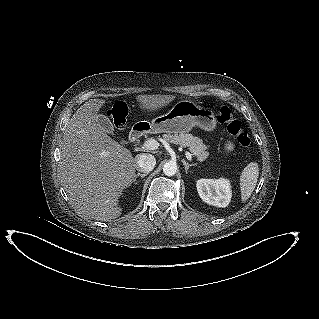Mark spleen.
Returning <instances> with one entry per match:
<instances>
[{"label":"spleen","instance_id":"1","mask_svg":"<svg viewBox=\"0 0 319 319\" xmlns=\"http://www.w3.org/2000/svg\"><path fill=\"white\" fill-rule=\"evenodd\" d=\"M259 177L257 162L249 163L240 176L241 201L245 202L253 193Z\"/></svg>","mask_w":319,"mask_h":319}]
</instances>
